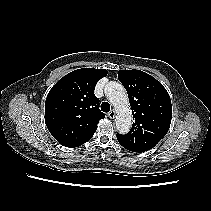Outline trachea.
<instances>
[{
	"label": "trachea",
	"mask_w": 211,
	"mask_h": 211,
	"mask_svg": "<svg viewBox=\"0 0 211 211\" xmlns=\"http://www.w3.org/2000/svg\"><path fill=\"white\" fill-rule=\"evenodd\" d=\"M101 110L103 112H106V113L109 112L110 111V104L108 102H103L101 104Z\"/></svg>",
	"instance_id": "3493384b"
}]
</instances>
